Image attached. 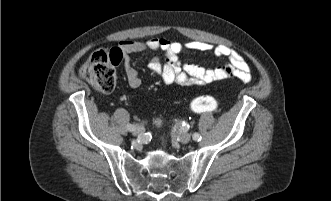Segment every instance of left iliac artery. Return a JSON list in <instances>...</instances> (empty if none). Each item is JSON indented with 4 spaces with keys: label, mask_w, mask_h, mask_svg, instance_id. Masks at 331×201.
<instances>
[{
    "label": "left iliac artery",
    "mask_w": 331,
    "mask_h": 201,
    "mask_svg": "<svg viewBox=\"0 0 331 201\" xmlns=\"http://www.w3.org/2000/svg\"><path fill=\"white\" fill-rule=\"evenodd\" d=\"M177 125H178V127H180V128L183 129V130H187V129H189V123H188L187 121H185V120H180V121H178V122H177ZM193 139H194L195 141H200V140H201V136H200V134H198V133H194V134H193Z\"/></svg>",
    "instance_id": "left-iliac-artery-1"
}]
</instances>
